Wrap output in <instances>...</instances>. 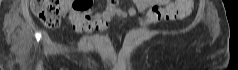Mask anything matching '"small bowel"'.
Segmentation results:
<instances>
[{
    "mask_svg": "<svg viewBox=\"0 0 238 70\" xmlns=\"http://www.w3.org/2000/svg\"><path fill=\"white\" fill-rule=\"evenodd\" d=\"M63 4L73 30L77 33L92 34L104 31L115 17H134L145 11L147 15L141 23L172 20L174 17L166 15V12L177 3L168 0H134L133 5L125 9L118 6L117 2H108L102 12L92 9L89 0H78L77 5L71 0H64Z\"/></svg>",
    "mask_w": 238,
    "mask_h": 70,
    "instance_id": "obj_1",
    "label": "small bowel"
}]
</instances>
